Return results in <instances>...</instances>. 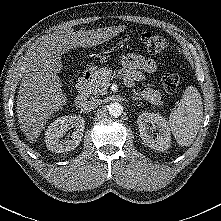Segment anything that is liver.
Instances as JSON below:
<instances>
[{
  "mask_svg": "<svg viewBox=\"0 0 221 221\" xmlns=\"http://www.w3.org/2000/svg\"><path fill=\"white\" fill-rule=\"evenodd\" d=\"M123 30L122 26L79 30L71 28L45 36L25 58L24 75L17 96L20 129L30 143H35L46 121L67 102L57 73L61 56L77 47H92L108 41Z\"/></svg>",
  "mask_w": 221,
  "mask_h": 221,
  "instance_id": "1",
  "label": "liver"
}]
</instances>
